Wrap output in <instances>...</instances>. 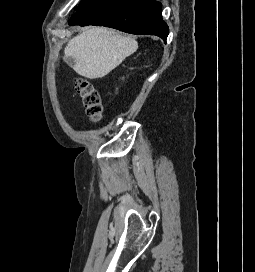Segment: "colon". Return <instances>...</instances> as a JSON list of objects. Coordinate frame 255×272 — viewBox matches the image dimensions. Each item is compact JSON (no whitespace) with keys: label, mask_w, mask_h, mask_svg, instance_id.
I'll return each instance as SVG.
<instances>
[{"label":"colon","mask_w":255,"mask_h":272,"mask_svg":"<svg viewBox=\"0 0 255 272\" xmlns=\"http://www.w3.org/2000/svg\"><path fill=\"white\" fill-rule=\"evenodd\" d=\"M73 85L89 118L94 122L100 121L103 109L98 91L83 78L75 79Z\"/></svg>","instance_id":"5ec220e1"}]
</instances>
